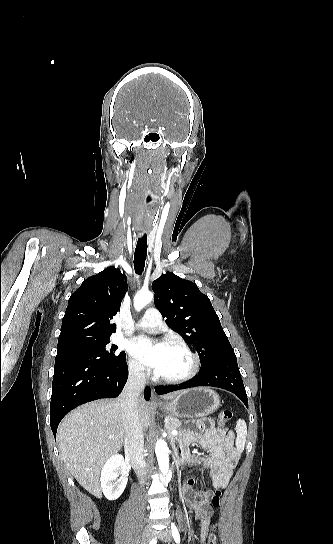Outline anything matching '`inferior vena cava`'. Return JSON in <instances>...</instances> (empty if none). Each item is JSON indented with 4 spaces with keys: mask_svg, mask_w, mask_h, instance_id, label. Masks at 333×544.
<instances>
[{
    "mask_svg": "<svg viewBox=\"0 0 333 544\" xmlns=\"http://www.w3.org/2000/svg\"><path fill=\"white\" fill-rule=\"evenodd\" d=\"M146 376L144 370L135 366L129 370L128 381L120 395V407L126 429L125 454L130 459L136 475L143 485L146 480L144 460V436L139 418V396L144 390Z\"/></svg>",
    "mask_w": 333,
    "mask_h": 544,
    "instance_id": "602c4592",
    "label": "inferior vena cava"
}]
</instances>
